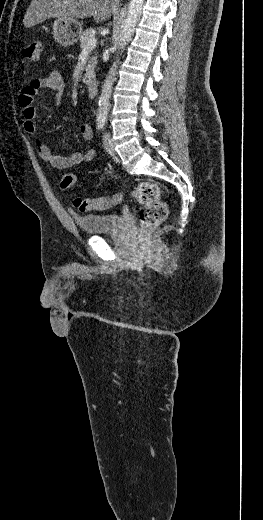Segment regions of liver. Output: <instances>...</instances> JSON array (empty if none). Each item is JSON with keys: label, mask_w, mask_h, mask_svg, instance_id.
I'll return each instance as SVG.
<instances>
[{"label": "liver", "mask_w": 263, "mask_h": 520, "mask_svg": "<svg viewBox=\"0 0 263 520\" xmlns=\"http://www.w3.org/2000/svg\"><path fill=\"white\" fill-rule=\"evenodd\" d=\"M119 0H32L23 24L33 27L49 18L68 20L93 17L95 22L106 21L118 13Z\"/></svg>", "instance_id": "obj_1"}]
</instances>
